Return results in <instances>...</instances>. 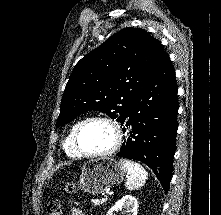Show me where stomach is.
Returning a JSON list of instances; mask_svg holds the SVG:
<instances>
[{"instance_id": "stomach-1", "label": "stomach", "mask_w": 221, "mask_h": 215, "mask_svg": "<svg viewBox=\"0 0 221 215\" xmlns=\"http://www.w3.org/2000/svg\"><path fill=\"white\" fill-rule=\"evenodd\" d=\"M125 169L113 158L90 160L82 167L78 187L90 194H100L122 182Z\"/></svg>"}]
</instances>
